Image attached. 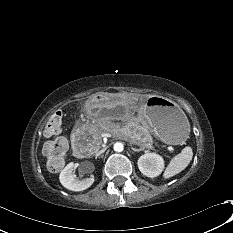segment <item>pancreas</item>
I'll return each instance as SVG.
<instances>
[{"label": "pancreas", "instance_id": "cf45deb5", "mask_svg": "<svg viewBox=\"0 0 233 233\" xmlns=\"http://www.w3.org/2000/svg\"><path fill=\"white\" fill-rule=\"evenodd\" d=\"M106 125H100V127ZM98 125H88V132L92 135L89 142V147L92 153H96L103 145L102 142V129ZM128 133V132H127ZM129 136L126 137L131 143L139 145L142 148L153 149V139L147 123L143 119L135 118L132 121V128L129 130Z\"/></svg>", "mask_w": 233, "mask_h": 233}]
</instances>
